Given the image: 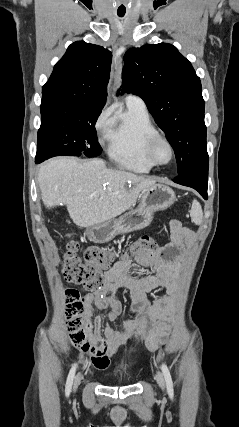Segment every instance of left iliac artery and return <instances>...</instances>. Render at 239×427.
<instances>
[{"instance_id": "1", "label": "left iliac artery", "mask_w": 239, "mask_h": 427, "mask_svg": "<svg viewBox=\"0 0 239 427\" xmlns=\"http://www.w3.org/2000/svg\"><path fill=\"white\" fill-rule=\"evenodd\" d=\"M161 369H162V372H163V375H164V378L166 381L167 392H168L169 396L171 398H173L174 391H173V382H172V378L170 375V371H169V369L165 363L162 364Z\"/></svg>"}]
</instances>
